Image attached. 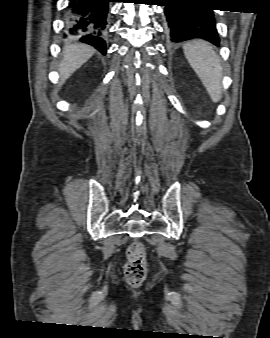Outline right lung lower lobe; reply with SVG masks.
<instances>
[{"label": "right lung lower lobe", "instance_id": "1", "mask_svg": "<svg viewBox=\"0 0 270 338\" xmlns=\"http://www.w3.org/2000/svg\"><path fill=\"white\" fill-rule=\"evenodd\" d=\"M115 0H70L65 37H77L106 54L108 6Z\"/></svg>", "mask_w": 270, "mask_h": 338}]
</instances>
